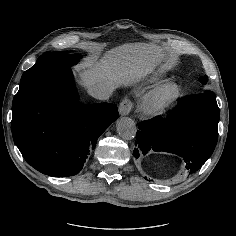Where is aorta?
Returning a JSON list of instances; mask_svg holds the SVG:
<instances>
[{
	"instance_id": "aorta-1",
	"label": "aorta",
	"mask_w": 236,
	"mask_h": 236,
	"mask_svg": "<svg viewBox=\"0 0 236 236\" xmlns=\"http://www.w3.org/2000/svg\"><path fill=\"white\" fill-rule=\"evenodd\" d=\"M116 129L118 134L126 140L134 139L137 132L136 124L128 117L119 119L116 123Z\"/></svg>"
}]
</instances>
